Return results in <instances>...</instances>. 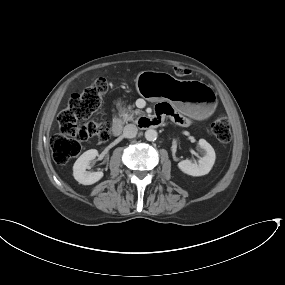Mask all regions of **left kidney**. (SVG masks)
<instances>
[{
  "label": "left kidney",
  "instance_id": "5707ae66",
  "mask_svg": "<svg viewBox=\"0 0 285 285\" xmlns=\"http://www.w3.org/2000/svg\"><path fill=\"white\" fill-rule=\"evenodd\" d=\"M198 144L204 151V156L201 157L198 162L186 159L178 163L179 169L191 176H202L208 174L216 159L213 147L205 139H200Z\"/></svg>",
  "mask_w": 285,
  "mask_h": 285
}]
</instances>
